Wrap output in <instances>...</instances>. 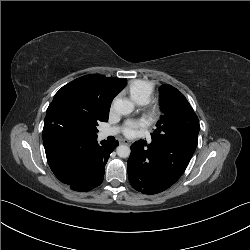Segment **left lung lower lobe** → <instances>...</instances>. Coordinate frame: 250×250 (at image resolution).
<instances>
[{
	"mask_svg": "<svg viewBox=\"0 0 250 250\" xmlns=\"http://www.w3.org/2000/svg\"><path fill=\"white\" fill-rule=\"evenodd\" d=\"M197 141L196 135H184L132 144L127 163L131 186L144 194L160 193L172 186L187 168Z\"/></svg>",
	"mask_w": 250,
	"mask_h": 250,
	"instance_id": "obj_1",
	"label": "left lung lower lobe"
}]
</instances>
